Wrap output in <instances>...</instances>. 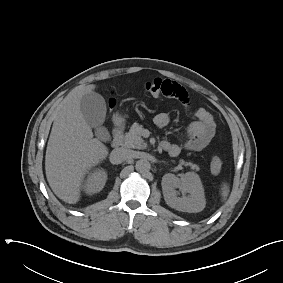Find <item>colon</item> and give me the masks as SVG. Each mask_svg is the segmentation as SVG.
Wrapping results in <instances>:
<instances>
[{
	"label": "colon",
	"instance_id": "colon-1",
	"mask_svg": "<svg viewBox=\"0 0 283 283\" xmlns=\"http://www.w3.org/2000/svg\"><path fill=\"white\" fill-rule=\"evenodd\" d=\"M145 91L152 96H159L162 93V80L159 78L148 81L145 84ZM113 100L110 101L112 107ZM222 160L218 156H214L210 163L211 171L215 174L220 173L222 170Z\"/></svg>",
	"mask_w": 283,
	"mask_h": 283
}]
</instances>
